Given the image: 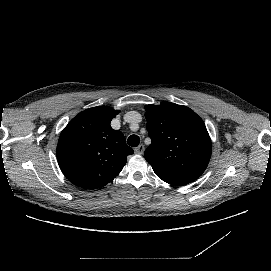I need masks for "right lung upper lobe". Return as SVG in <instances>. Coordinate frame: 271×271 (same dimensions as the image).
<instances>
[{
    "mask_svg": "<svg viewBox=\"0 0 271 271\" xmlns=\"http://www.w3.org/2000/svg\"><path fill=\"white\" fill-rule=\"evenodd\" d=\"M119 111L93 107L75 116L60 134L57 160L66 178L84 189L101 188L126 164L133 149L125 137L110 126Z\"/></svg>",
    "mask_w": 271,
    "mask_h": 271,
    "instance_id": "1",
    "label": "right lung upper lobe"
}]
</instances>
